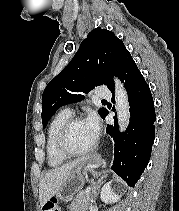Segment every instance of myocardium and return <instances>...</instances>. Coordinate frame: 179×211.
<instances>
[{"instance_id":"1","label":"myocardium","mask_w":179,"mask_h":211,"mask_svg":"<svg viewBox=\"0 0 179 211\" xmlns=\"http://www.w3.org/2000/svg\"><path fill=\"white\" fill-rule=\"evenodd\" d=\"M81 121H83L81 117H71L64 123L59 132L57 139V149L59 153L66 158L86 156L92 153L97 147V141H95L92 146L82 151H75L70 147L69 139L71 131L74 125Z\"/></svg>"}]
</instances>
